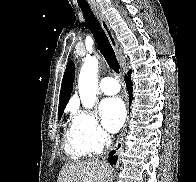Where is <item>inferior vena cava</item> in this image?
I'll return each mask as SVG.
<instances>
[{
    "mask_svg": "<svg viewBox=\"0 0 196 182\" xmlns=\"http://www.w3.org/2000/svg\"><path fill=\"white\" fill-rule=\"evenodd\" d=\"M103 137H104L105 146H106V148H108L111 144V138H110L109 134H107V133H104Z\"/></svg>",
    "mask_w": 196,
    "mask_h": 182,
    "instance_id": "1",
    "label": "inferior vena cava"
}]
</instances>
